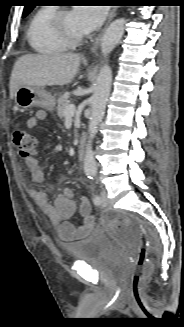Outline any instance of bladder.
<instances>
[{"label":"bladder","mask_w":184,"mask_h":327,"mask_svg":"<svg viewBox=\"0 0 184 327\" xmlns=\"http://www.w3.org/2000/svg\"><path fill=\"white\" fill-rule=\"evenodd\" d=\"M65 248L74 261L91 263L98 259L101 253L113 252V243L107 234L94 230L87 237L70 243Z\"/></svg>","instance_id":"1"}]
</instances>
